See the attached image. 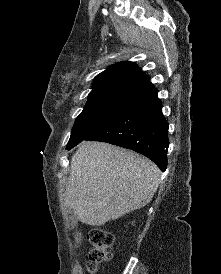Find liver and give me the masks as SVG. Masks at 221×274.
<instances>
[{"label":"liver","mask_w":221,"mask_h":274,"mask_svg":"<svg viewBox=\"0 0 221 274\" xmlns=\"http://www.w3.org/2000/svg\"><path fill=\"white\" fill-rule=\"evenodd\" d=\"M161 172L149 159L102 142H83L71 159L63 209L85 224L100 226L147 205Z\"/></svg>","instance_id":"obj_1"}]
</instances>
